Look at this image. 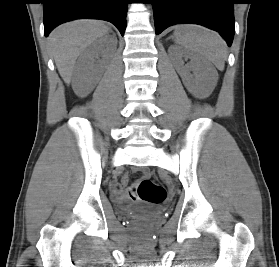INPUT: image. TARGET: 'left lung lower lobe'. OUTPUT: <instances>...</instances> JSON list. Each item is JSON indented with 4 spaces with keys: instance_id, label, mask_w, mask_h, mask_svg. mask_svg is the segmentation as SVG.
<instances>
[{
    "instance_id": "obj_1",
    "label": "left lung lower lobe",
    "mask_w": 279,
    "mask_h": 267,
    "mask_svg": "<svg viewBox=\"0 0 279 267\" xmlns=\"http://www.w3.org/2000/svg\"><path fill=\"white\" fill-rule=\"evenodd\" d=\"M156 34L174 24L194 23L218 31L231 46L234 0H151Z\"/></svg>"
}]
</instances>
